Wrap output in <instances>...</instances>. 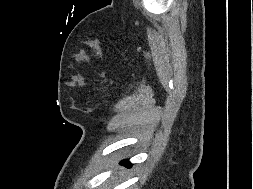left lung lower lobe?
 Segmentation results:
<instances>
[{"instance_id":"obj_1","label":"left lung lower lobe","mask_w":253,"mask_h":189,"mask_svg":"<svg viewBox=\"0 0 253 189\" xmlns=\"http://www.w3.org/2000/svg\"><path fill=\"white\" fill-rule=\"evenodd\" d=\"M121 164H123V165H125V166H127V167H131V165H132L128 160H123V161L121 162Z\"/></svg>"}]
</instances>
